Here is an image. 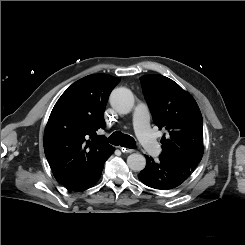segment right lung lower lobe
<instances>
[{"mask_svg":"<svg viewBox=\"0 0 245 245\" xmlns=\"http://www.w3.org/2000/svg\"><path fill=\"white\" fill-rule=\"evenodd\" d=\"M112 153L102 159L93 161L84 171L67 181L63 186L69 190H83L94 185L101 176L105 161Z\"/></svg>","mask_w":245,"mask_h":245,"instance_id":"obj_1","label":"right lung lower lobe"}]
</instances>
